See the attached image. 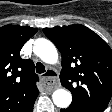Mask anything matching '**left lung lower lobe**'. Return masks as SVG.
<instances>
[{
    "instance_id": "0a47b994",
    "label": "left lung lower lobe",
    "mask_w": 112,
    "mask_h": 112,
    "mask_svg": "<svg viewBox=\"0 0 112 112\" xmlns=\"http://www.w3.org/2000/svg\"><path fill=\"white\" fill-rule=\"evenodd\" d=\"M103 108L99 107H91V106H81V105H73L71 104L66 109H61L60 112H103Z\"/></svg>"
}]
</instances>
